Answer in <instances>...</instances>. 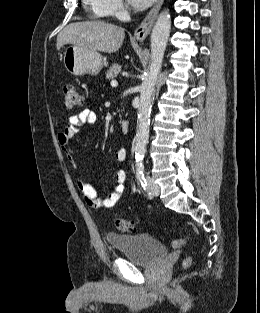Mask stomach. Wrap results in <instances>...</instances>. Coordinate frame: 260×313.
Returning a JSON list of instances; mask_svg holds the SVG:
<instances>
[{"label": "stomach", "mask_w": 260, "mask_h": 313, "mask_svg": "<svg viewBox=\"0 0 260 313\" xmlns=\"http://www.w3.org/2000/svg\"><path fill=\"white\" fill-rule=\"evenodd\" d=\"M63 63L66 70L73 75L96 76L103 67V57L95 50L73 45L66 48Z\"/></svg>", "instance_id": "0dacf381"}]
</instances>
